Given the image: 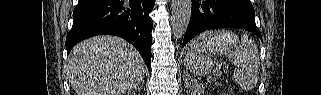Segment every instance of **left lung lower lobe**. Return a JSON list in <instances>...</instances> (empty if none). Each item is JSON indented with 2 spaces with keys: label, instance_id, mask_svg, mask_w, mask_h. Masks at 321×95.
<instances>
[{
  "label": "left lung lower lobe",
  "instance_id": "0a47b994",
  "mask_svg": "<svg viewBox=\"0 0 321 95\" xmlns=\"http://www.w3.org/2000/svg\"><path fill=\"white\" fill-rule=\"evenodd\" d=\"M192 4L183 46L197 34L212 28H238L262 38L250 0H192Z\"/></svg>",
  "mask_w": 321,
  "mask_h": 95
}]
</instances>
